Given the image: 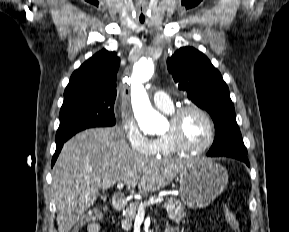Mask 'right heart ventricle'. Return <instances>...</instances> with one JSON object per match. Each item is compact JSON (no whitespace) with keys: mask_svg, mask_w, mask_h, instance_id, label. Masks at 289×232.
<instances>
[{"mask_svg":"<svg viewBox=\"0 0 289 232\" xmlns=\"http://www.w3.org/2000/svg\"><path fill=\"white\" fill-rule=\"evenodd\" d=\"M173 110H174V108L172 107L171 109L164 110V111L166 113L171 114L173 112ZM154 141H155V147H154V152L152 154V156H154V157L167 158V157L175 156V155L180 153L178 150H176L171 145V143L169 142V140L167 139V137L165 135L158 137Z\"/></svg>","mask_w":289,"mask_h":232,"instance_id":"right-heart-ventricle-1","label":"right heart ventricle"}]
</instances>
